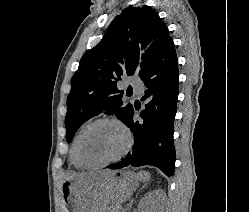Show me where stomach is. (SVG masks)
<instances>
[{"instance_id": "0dacf381", "label": "stomach", "mask_w": 249, "mask_h": 212, "mask_svg": "<svg viewBox=\"0 0 249 212\" xmlns=\"http://www.w3.org/2000/svg\"><path fill=\"white\" fill-rule=\"evenodd\" d=\"M134 189L128 170H87L61 184L68 212H104L108 206L103 204H124V199L109 198H128Z\"/></svg>"}]
</instances>
